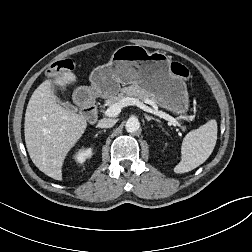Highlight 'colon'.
Segmentation results:
<instances>
[{"instance_id": "obj_1", "label": "colon", "mask_w": 252, "mask_h": 252, "mask_svg": "<svg viewBox=\"0 0 252 252\" xmlns=\"http://www.w3.org/2000/svg\"><path fill=\"white\" fill-rule=\"evenodd\" d=\"M73 65H74L73 61L70 59H65V60L59 61V62L53 64L49 68L47 74L50 77H57L60 74H62L63 72L73 69ZM171 71L173 74H175L178 77H181L184 79H187L189 77L188 69L180 63H177V62L172 63Z\"/></svg>"}]
</instances>
